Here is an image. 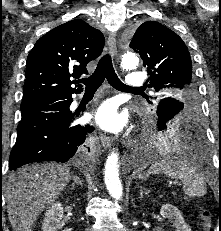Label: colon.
<instances>
[{"label": "colon", "instance_id": "5ec220e1", "mask_svg": "<svg viewBox=\"0 0 221 231\" xmlns=\"http://www.w3.org/2000/svg\"><path fill=\"white\" fill-rule=\"evenodd\" d=\"M202 216L204 219L205 229L208 230L210 225H211V213L208 210L203 209L202 210Z\"/></svg>", "mask_w": 221, "mask_h": 231}]
</instances>
